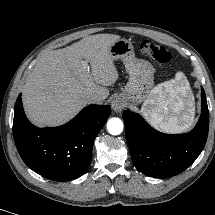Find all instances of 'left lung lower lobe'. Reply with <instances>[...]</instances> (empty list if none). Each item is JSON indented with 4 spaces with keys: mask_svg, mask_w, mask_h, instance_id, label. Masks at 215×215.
<instances>
[{
    "mask_svg": "<svg viewBox=\"0 0 215 215\" xmlns=\"http://www.w3.org/2000/svg\"><path fill=\"white\" fill-rule=\"evenodd\" d=\"M201 115L194 129L184 134H164L139 114L124 111L126 138L136 168L151 177H172L186 170L202 152L209 129L206 95L201 88Z\"/></svg>",
    "mask_w": 215,
    "mask_h": 215,
    "instance_id": "1",
    "label": "left lung lower lobe"
}]
</instances>
